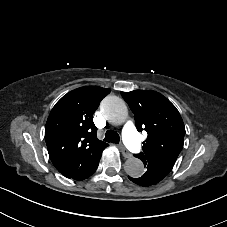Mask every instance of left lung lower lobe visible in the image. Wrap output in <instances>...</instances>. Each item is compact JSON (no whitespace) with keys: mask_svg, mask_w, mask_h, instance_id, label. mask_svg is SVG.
I'll list each match as a JSON object with an SVG mask.
<instances>
[{"mask_svg":"<svg viewBox=\"0 0 227 227\" xmlns=\"http://www.w3.org/2000/svg\"><path fill=\"white\" fill-rule=\"evenodd\" d=\"M167 175L162 173L159 169L153 166L147 167V171L144 173V175L140 178H131L129 179L133 181L135 184L141 185V186H150L157 184L159 181L164 179Z\"/></svg>","mask_w":227,"mask_h":227,"instance_id":"0a47b994","label":"left lung lower lobe"}]
</instances>
